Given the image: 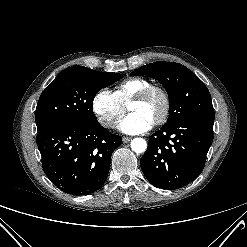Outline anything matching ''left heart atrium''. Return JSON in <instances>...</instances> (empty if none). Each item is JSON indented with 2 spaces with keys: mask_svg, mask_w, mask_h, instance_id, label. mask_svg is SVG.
Wrapping results in <instances>:
<instances>
[{
  "mask_svg": "<svg viewBox=\"0 0 247 247\" xmlns=\"http://www.w3.org/2000/svg\"><path fill=\"white\" fill-rule=\"evenodd\" d=\"M154 122L141 113L131 112L118 124V129L126 134H140L150 130Z\"/></svg>",
  "mask_w": 247,
  "mask_h": 247,
  "instance_id": "1",
  "label": "left heart atrium"
}]
</instances>
